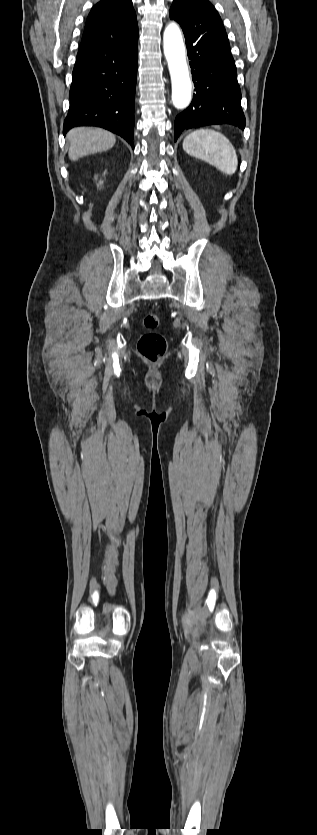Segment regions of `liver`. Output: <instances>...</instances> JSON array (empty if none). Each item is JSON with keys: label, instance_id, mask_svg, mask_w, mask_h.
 <instances>
[{"label": "liver", "instance_id": "1", "mask_svg": "<svg viewBox=\"0 0 317 835\" xmlns=\"http://www.w3.org/2000/svg\"><path fill=\"white\" fill-rule=\"evenodd\" d=\"M70 143L68 156L71 161L97 152L111 149L116 137L111 132L99 128L78 127L67 134Z\"/></svg>", "mask_w": 317, "mask_h": 835}]
</instances>
